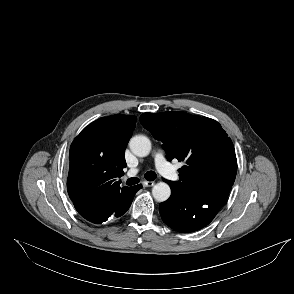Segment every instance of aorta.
Here are the masks:
<instances>
[{"instance_id":"obj_1","label":"aorta","mask_w":294,"mask_h":294,"mask_svg":"<svg viewBox=\"0 0 294 294\" xmlns=\"http://www.w3.org/2000/svg\"><path fill=\"white\" fill-rule=\"evenodd\" d=\"M129 146L131 151L139 157L147 156L151 150V142L144 135L132 137ZM152 195L156 201L164 202L170 197L171 189L167 183L159 182L153 186Z\"/></svg>"}]
</instances>
